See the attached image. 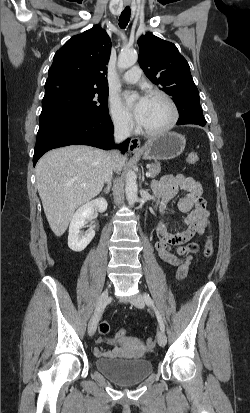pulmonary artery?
I'll return each instance as SVG.
<instances>
[{
    "label": "pulmonary artery",
    "instance_id": "obj_1",
    "mask_svg": "<svg viewBox=\"0 0 250 413\" xmlns=\"http://www.w3.org/2000/svg\"><path fill=\"white\" fill-rule=\"evenodd\" d=\"M141 77V69L138 66H134L131 69H129L124 75H123V81L128 84H134L137 83L140 80Z\"/></svg>",
    "mask_w": 250,
    "mask_h": 413
}]
</instances>
